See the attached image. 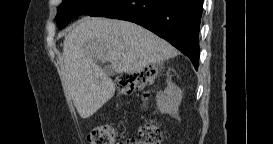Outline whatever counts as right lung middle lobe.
Masks as SVG:
<instances>
[{
  "mask_svg": "<svg viewBox=\"0 0 273 144\" xmlns=\"http://www.w3.org/2000/svg\"><path fill=\"white\" fill-rule=\"evenodd\" d=\"M109 0H63L58 8L56 23L59 28L81 15L91 14Z\"/></svg>",
  "mask_w": 273,
  "mask_h": 144,
  "instance_id": "obj_1",
  "label": "right lung middle lobe"
}]
</instances>
